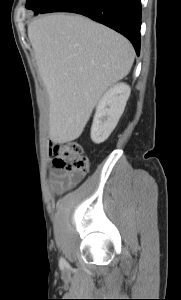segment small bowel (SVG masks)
Masks as SVG:
<instances>
[{
  "label": "small bowel",
  "mask_w": 181,
  "mask_h": 300,
  "mask_svg": "<svg viewBox=\"0 0 181 300\" xmlns=\"http://www.w3.org/2000/svg\"><path fill=\"white\" fill-rule=\"evenodd\" d=\"M79 177H72L67 171L55 168L51 173L52 187L56 191H64L74 186Z\"/></svg>",
  "instance_id": "1"
}]
</instances>
